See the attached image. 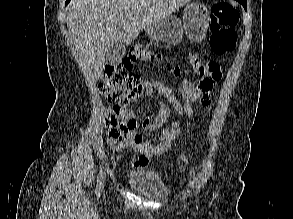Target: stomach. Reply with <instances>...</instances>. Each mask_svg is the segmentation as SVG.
I'll use <instances>...</instances> for the list:
<instances>
[{"label": "stomach", "mask_w": 293, "mask_h": 219, "mask_svg": "<svg viewBox=\"0 0 293 219\" xmlns=\"http://www.w3.org/2000/svg\"><path fill=\"white\" fill-rule=\"evenodd\" d=\"M210 14L201 3H190L183 12V23L176 17H166L146 28L149 37L154 41H161L177 45L183 33L193 42L202 41L208 31Z\"/></svg>", "instance_id": "stomach-1"}]
</instances>
